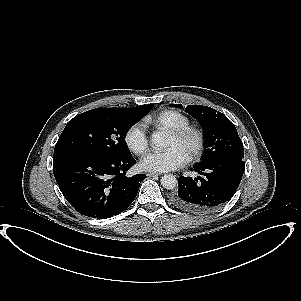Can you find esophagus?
<instances>
[{"mask_svg": "<svg viewBox=\"0 0 301 301\" xmlns=\"http://www.w3.org/2000/svg\"><path fill=\"white\" fill-rule=\"evenodd\" d=\"M147 176L150 178H157L160 176V174L159 173H148Z\"/></svg>", "mask_w": 301, "mask_h": 301, "instance_id": "esophagus-1", "label": "esophagus"}]
</instances>
